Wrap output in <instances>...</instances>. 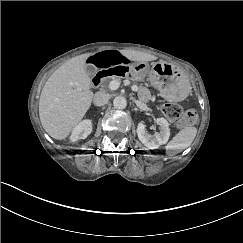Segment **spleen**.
<instances>
[{
    "mask_svg": "<svg viewBox=\"0 0 243 243\" xmlns=\"http://www.w3.org/2000/svg\"><path fill=\"white\" fill-rule=\"evenodd\" d=\"M197 134L196 127L188 126L179 131L173 139L167 144V153H176L179 150L189 147Z\"/></svg>",
    "mask_w": 243,
    "mask_h": 243,
    "instance_id": "obj_1",
    "label": "spleen"
}]
</instances>
